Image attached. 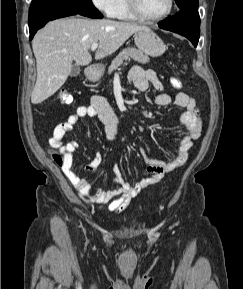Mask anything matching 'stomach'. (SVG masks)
Here are the masks:
<instances>
[{
	"mask_svg": "<svg viewBox=\"0 0 243 289\" xmlns=\"http://www.w3.org/2000/svg\"><path fill=\"white\" fill-rule=\"evenodd\" d=\"M134 41L139 50L151 57L160 56L166 49L162 39L148 27L137 31L134 35ZM103 73V67H99L88 72L87 77L91 81H97Z\"/></svg>",
	"mask_w": 243,
	"mask_h": 289,
	"instance_id": "stomach-1",
	"label": "stomach"
}]
</instances>
